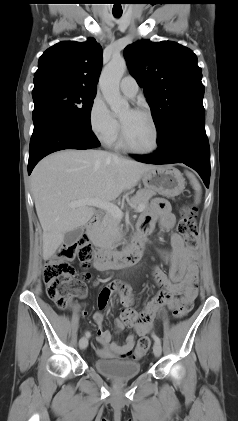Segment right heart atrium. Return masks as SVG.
<instances>
[{"instance_id": "d8ad5b80", "label": "right heart atrium", "mask_w": 238, "mask_h": 421, "mask_svg": "<svg viewBox=\"0 0 238 421\" xmlns=\"http://www.w3.org/2000/svg\"><path fill=\"white\" fill-rule=\"evenodd\" d=\"M89 124L93 133L104 143H113L119 134V122L106 103L95 97L89 110Z\"/></svg>"}]
</instances>
